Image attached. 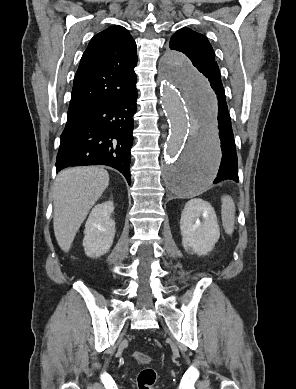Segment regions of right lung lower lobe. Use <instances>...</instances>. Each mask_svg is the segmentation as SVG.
I'll use <instances>...</instances> for the list:
<instances>
[{
    "mask_svg": "<svg viewBox=\"0 0 296 389\" xmlns=\"http://www.w3.org/2000/svg\"><path fill=\"white\" fill-rule=\"evenodd\" d=\"M136 79L118 99L68 117L56 159L57 172L71 166L107 165L130 180Z\"/></svg>",
    "mask_w": 296,
    "mask_h": 389,
    "instance_id": "obj_1",
    "label": "right lung lower lobe"
}]
</instances>
